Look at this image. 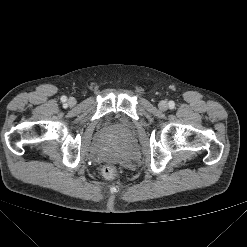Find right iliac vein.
I'll list each match as a JSON object with an SVG mask.
<instances>
[{
  "instance_id": "63e3f726",
  "label": "right iliac vein",
  "mask_w": 247,
  "mask_h": 247,
  "mask_svg": "<svg viewBox=\"0 0 247 247\" xmlns=\"http://www.w3.org/2000/svg\"><path fill=\"white\" fill-rule=\"evenodd\" d=\"M67 102L69 106H74L76 104V99L73 97H70Z\"/></svg>"
}]
</instances>
